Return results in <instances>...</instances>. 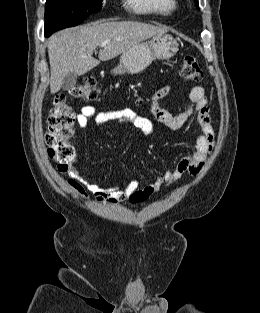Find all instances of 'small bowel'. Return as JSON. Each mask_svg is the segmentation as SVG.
I'll return each mask as SVG.
<instances>
[{
    "label": "small bowel",
    "mask_w": 260,
    "mask_h": 313,
    "mask_svg": "<svg viewBox=\"0 0 260 313\" xmlns=\"http://www.w3.org/2000/svg\"><path fill=\"white\" fill-rule=\"evenodd\" d=\"M170 92V86L160 87L155 92L151 102V113L154 118L166 127L177 130L182 128L193 114H196L200 127V132L195 136L192 151L182 157L174 168L163 172L144 187H139V183L135 179L129 181L124 187L119 185L101 186L84 178L80 173L77 161H75L72 163L69 176L66 179L68 186L84 200H88L89 194H92L99 203L117 204L128 202L130 204H139L148 200L162 188L178 181L185 174H199L206 165L214 146V129L211 123L205 89L202 86L192 87L189 94L190 102L186 109L179 114L169 112L159 103ZM91 118H94L98 125L108 122L127 124L137 128L144 135L149 134L152 127L148 118L131 109L99 112L91 106L81 108L76 118L77 125L80 128H86Z\"/></svg>",
    "instance_id": "obj_1"
}]
</instances>
